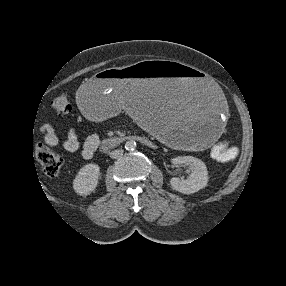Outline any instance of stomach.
I'll return each instance as SVG.
<instances>
[{
	"mask_svg": "<svg viewBox=\"0 0 286 286\" xmlns=\"http://www.w3.org/2000/svg\"><path fill=\"white\" fill-rule=\"evenodd\" d=\"M77 105L92 120L111 121L128 112L159 139L182 147L210 142L228 117L218 83L176 61L106 66L82 84Z\"/></svg>",
	"mask_w": 286,
	"mask_h": 286,
	"instance_id": "stomach-1",
	"label": "stomach"
}]
</instances>
